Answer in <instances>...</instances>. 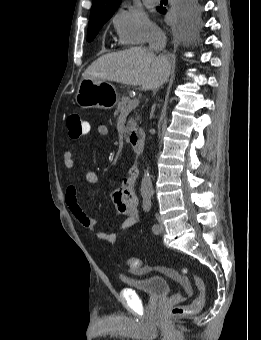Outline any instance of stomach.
I'll use <instances>...</instances> for the list:
<instances>
[{"label": "stomach", "instance_id": "stomach-1", "mask_svg": "<svg viewBox=\"0 0 261 340\" xmlns=\"http://www.w3.org/2000/svg\"><path fill=\"white\" fill-rule=\"evenodd\" d=\"M75 100L85 109H112L119 102V93L112 83L89 77L81 80Z\"/></svg>", "mask_w": 261, "mask_h": 340}]
</instances>
